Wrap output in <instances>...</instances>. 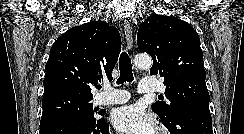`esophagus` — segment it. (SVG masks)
<instances>
[{"label": "esophagus", "mask_w": 244, "mask_h": 134, "mask_svg": "<svg viewBox=\"0 0 244 134\" xmlns=\"http://www.w3.org/2000/svg\"><path fill=\"white\" fill-rule=\"evenodd\" d=\"M124 33H125V38H126V42H127V47L129 50L132 49L133 47V32H132V28L129 24L128 21H124Z\"/></svg>", "instance_id": "esophagus-1"}]
</instances>
